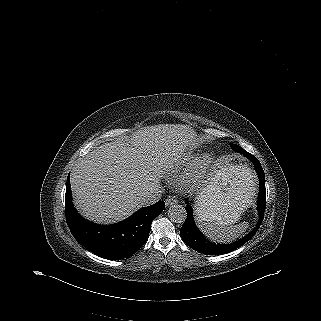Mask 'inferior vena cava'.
<instances>
[{"mask_svg": "<svg viewBox=\"0 0 321 321\" xmlns=\"http://www.w3.org/2000/svg\"><path fill=\"white\" fill-rule=\"evenodd\" d=\"M162 193H163V190L161 188H156L153 191L145 193L141 197V202L145 206L152 205L161 199Z\"/></svg>", "mask_w": 321, "mask_h": 321, "instance_id": "obj_1", "label": "inferior vena cava"}]
</instances>
